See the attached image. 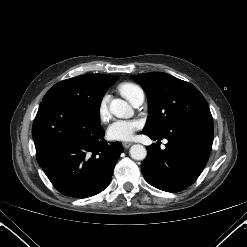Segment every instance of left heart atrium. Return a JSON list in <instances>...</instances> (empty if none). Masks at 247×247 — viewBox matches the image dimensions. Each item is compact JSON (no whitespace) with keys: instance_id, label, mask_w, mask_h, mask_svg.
<instances>
[{"instance_id":"1","label":"left heart atrium","mask_w":247,"mask_h":247,"mask_svg":"<svg viewBox=\"0 0 247 247\" xmlns=\"http://www.w3.org/2000/svg\"><path fill=\"white\" fill-rule=\"evenodd\" d=\"M141 126V122L136 119L116 120L108 127L107 137L114 141H128Z\"/></svg>"}]
</instances>
